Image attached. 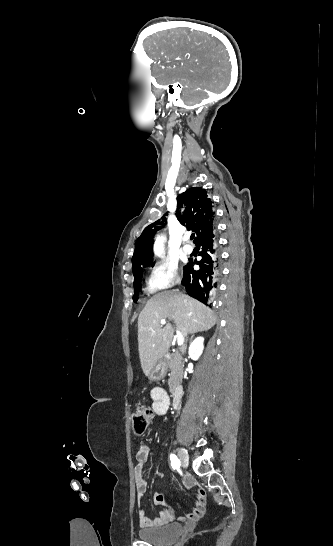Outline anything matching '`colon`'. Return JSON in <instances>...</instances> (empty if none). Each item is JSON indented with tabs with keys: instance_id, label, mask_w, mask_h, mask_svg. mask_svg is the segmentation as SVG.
<instances>
[{
	"instance_id": "obj_1",
	"label": "colon",
	"mask_w": 333,
	"mask_h": 546,
	"mask_svg": "<svg viewBox=\"0 0 333 546\" xmlns=\"http://www.w3.org/2000/svg\"><path fill=\"white\" fill-rule=\"evenodd\" d=\"M152 419L153 412L151 409L142 405L137 406L132 414V429L135 435H143Z\"/></svg>"
}]
</instances>
